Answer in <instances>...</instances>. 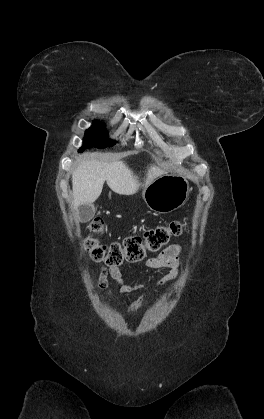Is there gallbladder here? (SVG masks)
<instances>
[{
	"instance_id": "gallbladder-1",
	"label": "gallbladder",
	"mask_w": 264,
	"mask_h": 419,
	"mask_svg": "<svg viewBox=\"0 0 264 419\" xmlns=\"http://www.w3.org/2000/svg\"><path fill=\"white\" fill-rule=\"evenodd\" d=\"M78 213L80 216V220L82 222H87L93 218L95 215V208L93 205H82L78 208Z\"/></svg>"
}]
</instances>
